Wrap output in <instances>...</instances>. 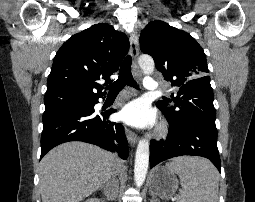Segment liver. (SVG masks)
<instances>
[{"label":"liver","instance_id":"6515ba94","mask_svg":"<svg viewBox=\"0 0 255 202\" xmlns=\"http://www.w3.org/2000/svg\"><path fill=\"white\" fill-rule=\"evenodd\" d=\"M121 161L97 146L73 141L47 153L40 163L42 202H80L101 188Z\"/></svg>","mask_w":255,"mask_h":202}]
</instances>
